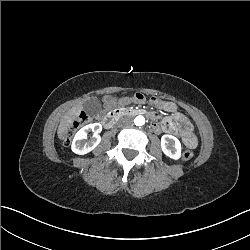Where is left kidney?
Masks as SVG:
<instances>
[{
	"label": "left kidney",
	"mask_w": 250,
	"mask_h": 250,
	"mask_svg": "<svg viewBox=\"0 0 250 250\" xmlns=\"http://www.w3.org/2000/svg\"><path fill=\"white\" fill-rule=\"evenodd\" d=\"M161 148L164 154L172 159L177 160L181 156V144L173 135L165 134L162 136Z\"/></svg>",
	"instance_id": "obj_1"
}]
</instances>
